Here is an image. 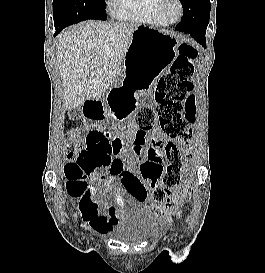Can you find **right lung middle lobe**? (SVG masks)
<instances>
[{
	"label": "right lung middle lobe",
	"mask_w": 265,
	"mask_h": 273,
	"mask_svg": "<svg viewBox=\"0 0 265 273\" xmlns=\"http://www.w3.org/2000/svg\"><path fill=\"white\" fill-rule=\"evenodd\" d=\"M55 29L88 19L106 20L105 0H53Z\"/></svg>",
	"instance_id": "right-lung-middle-lobe-1"
}]
</instances>
